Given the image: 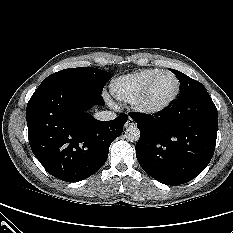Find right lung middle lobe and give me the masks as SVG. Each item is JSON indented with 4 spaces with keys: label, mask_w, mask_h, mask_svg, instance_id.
Instances as JSON below:
<instances>
[{
    "label": "right lung middle lobe",
    "mask_w": 233,
    "mask_h": 233,
    "mask_svg": "<svg viewBox=\"0 0 233 233\" xmlns=\"http://www.w3.org/2000/svg\"><path fill=\"white\" fill-rule=\"evenodd\" d=\"M111 77L112 74L110 72L92 67L64 69L48 76L35 92L60 82L69 81L85 85L96 92L102 93L103 87Z\"/></svg>",
    "instance_id": "obj_1"
}]
</instances>
